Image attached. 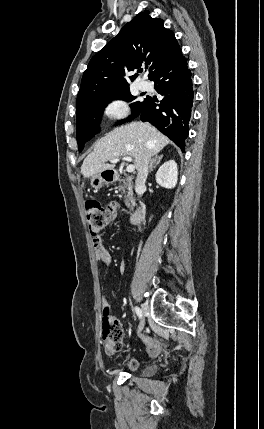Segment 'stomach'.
<instances>
[{
    "label": "stomach",
    "mask_w": 264,
    "mask_h": 429,
    "mask_svg": "<svg viewBox=\"0 0 264 429\" xmlns=\"http://www.w3.org/2000/svg\"><path fill=\"white\" fill-rule=\"evenodd\" d=\"M117 179V172L113 169L103 170L90 177V185L95 190L102 188L104 185H109Z\"/></svg>",
    "instance_id": "0dacf381"
}]
</instances>
